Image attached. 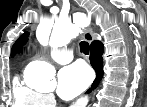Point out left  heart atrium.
I'll use <instances>...</instances> for the list:
<instances>
[{
	"instance_id": "1",
	"label": "left heart atrium",
	"mask_w": 147,
	"mask_h": 107,
	"mask_svg": "<svg viewBox=\"0 0 147 107\" xmlns=\"http://www.w3.org/2000/svg\"><path fill=\"white\" fill-rule=\"evenodd\" d=\"M91 78V71L82 63L66 66L58 74L57 93L62 99H72L87 88Z\"/></svg>"
}]
</instances>
